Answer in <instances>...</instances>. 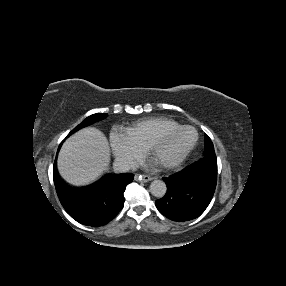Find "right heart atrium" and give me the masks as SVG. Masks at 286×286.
I'll return each mask as SVG.
<instances>
[{
	"label": "right heart atrium",
	"instance_id": "d8ad5b80",
	"mask_svg": "<svg viewBox=\"0 0 286 286\" xmlns=\"http://www.w3.org/2000/svg\"><path fill=\"white\" fill-rule=\"evenodd\" d=\"M110 146L116 159L125 166L134 165L145 148L125 130H114L109 136Z\"/></svg>",
	"mask_w": 286,
	"mask_h": 286
}]
</instances>
